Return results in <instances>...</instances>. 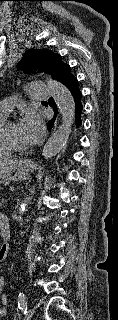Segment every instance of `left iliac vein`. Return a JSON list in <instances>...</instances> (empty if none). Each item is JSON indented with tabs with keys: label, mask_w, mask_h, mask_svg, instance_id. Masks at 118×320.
I'll list each match as a JSON object with an SVG mask.
<instances>
[{
	"label": "left iliac vein",
	"mask_w": 118,
	"mask_h": 320,
	"mask_svg": "<svg viewBox=\"0 0 118 320\" xmlns=\"http://www.w3.org/2000/svg\"><path fill=\"white\" fill-rule=\"evenodd\" d=\"M34 315V309L30 308L24 318V320H31Z\"/></svg>",
	"instance_id": "left-iliac-vein-1"
}]
</instances>
